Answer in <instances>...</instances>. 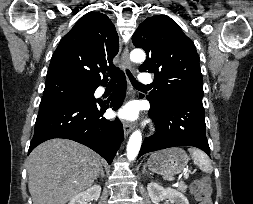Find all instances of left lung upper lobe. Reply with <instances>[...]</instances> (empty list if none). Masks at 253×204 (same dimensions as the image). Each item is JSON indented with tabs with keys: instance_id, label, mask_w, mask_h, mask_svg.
<instances>
[{
	"instance_id": "1",
	"label": "left lung upper lobe",
	"mask_w": 253,
	"mask_h": 204,
	"mask_svg": "<svg viewBox=\"0 0 253 204\" xmlns=\"http://www.w3.org/2000/svg\"><path fill=\"white\" fill-rule=\"evenodd\" d=\"M133 45L143 48L146 61L141 72L154 73L155 89L147 96L158 107L176 101L202 99L203 81L194 43L167 16L144 20L133 37Z\"/></svg>"
}]
</instances>
